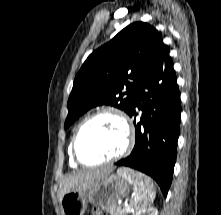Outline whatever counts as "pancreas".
I'll list each match as a JSON object with an SVG mask.
<instances>
[{
	"mask_svg": "<svg viewBox=\"0 0 221 215\" xmlns=\"http://www.w3.org/2000/svg\"><path fill=\"white\" fill-rule=\"evenodd\" d=\"M104 209L109 212L111 215H127L130 212L129 208L121 209L117 205L111 206L109 208L104 207Z\"/></svg>",
	"mask_w": 221,
	"mask_h": 215,
	"instance_id": "obj_1",
	"label": "pancreas"
}]
</instances>
